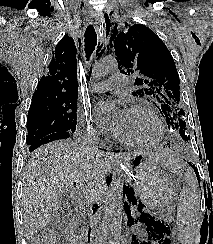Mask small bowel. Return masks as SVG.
<instances>
[{"label": "small bowel", "mask_w": 213, "mask_h": 244, "mask_svg": "<svg viewBox=\"0 0 213 244\" xmlns=\"http://www.w3.org/2000/svg\"><path fill=\"white\" fill-rule=\"evenodd\" d=\"M146 244H157V243H155V242H151V243H149V242H145Z\"/></svg>", "instance_id": "1"}]
</instances>
